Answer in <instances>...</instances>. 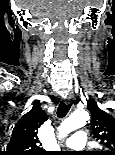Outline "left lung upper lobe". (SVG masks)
<instances>
[{
	"label": "left lung upper lobe",
	"instance_id": "1",
	"mask_svg": "<svg viewBox=\"0 0 115 155\" xmlns=\"http://www.w3.org/2000/svg\"><path fill=\"white\" fill-rule=\"evenodd\" d=\"M87 107L92 114L91 127L94 137L106 149L98 155H115V118L101 110L94 99L87 102Z\"/></svg>",
	"mask_w": 115,
	"mask_h": 155
}]
</instances>
